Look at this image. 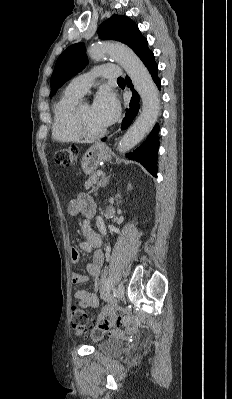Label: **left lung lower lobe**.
<instances>
[{"label":"left lung lower lobe","instance_id":"0a47b994","mask_svg":"<svg viewBox=\"0 0 232 399\" xmlns=\"http://www.w3.org/2000/svg\"><path fill=\"white\" fill-rule=\"evenodd\" d=\"M138 57L147 67L152 79L156 83L157 87L160 89V79L158 77V65L154 60L153 52L148 48L147 44L139 49L136 53ZM127 86L132 90V98L129 104V109L125 112V117L122 122L121 129H127L132 123L133 119L136 117L139 107L140 98L139 94L133 89L131 80L126 77ZM159 125L156 124L147 139L134 151L126 155L130 160L140 162L153 176H157V151L159 147L158 139ZM105 141V138L102 139Z\"/></svg>","mask_w":232,"mask_h":399}]
</instances>
